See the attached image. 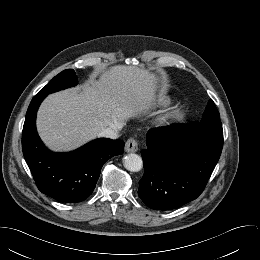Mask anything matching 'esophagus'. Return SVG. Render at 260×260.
<instances>
[{
  "instance_id": "obj_1",
  "label": "esophagus",
  "mask_w": 260,
  "mask_h": 260,
  "mask_svg": "<svg viewBox=\"0 0 260 260\" xmlns=\"http://www.w3.org/2000/svg\"><path fill=\"white\" fill-rule=\"evenodd\" d=\"M126 152H136L138 151V142L134 138H129L125 143Z\"/></svg>"
}]
</instances>
